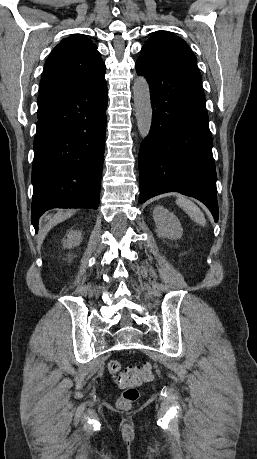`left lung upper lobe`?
I'll return each mask as SVG.
<instances>
[{
	"label": "left lung upper lobe",
	"mask_w": 257,
	"mask_h": 459,
	"mask_svg": "<svg viewBox=\"0 0 257 459\" xmlns=\"http://www.w3.org/2000/svg\"><path fill=\"white\" fill-rule=\"evenodd\" d=\"M139 57L159 63H196V57L185 41L166 31L155 32L142 47Z\"/></svg>",
	"instance_id": "obj_1"
}]
</instances>
